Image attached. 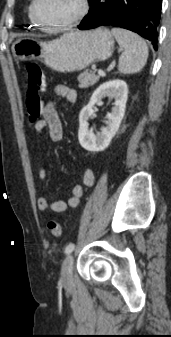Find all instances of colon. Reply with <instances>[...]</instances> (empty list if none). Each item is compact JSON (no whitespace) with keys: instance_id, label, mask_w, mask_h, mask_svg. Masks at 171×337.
I'll return each instance as SVG.
<instances>
[{"instance_id":"5ec220e1","label":"colon","mask_w":171,"mask_h":337,"mask_svg":"<svg viewBox=\"0 0 171 337\" xmlns=\"http://www.w3.org/2000/svg\"><path fill=\"white\" fill-rule=\"evenodd\" d=\"M27 70V109L30 115L35 118L39 115L41 107L46 106V101L41 100V92L46 86V78L41 66L37 62H29ZM48 229L52 236L59 237L62 233L61 224L52 220L48 223Z\"/></svg>"}]
</instances>
